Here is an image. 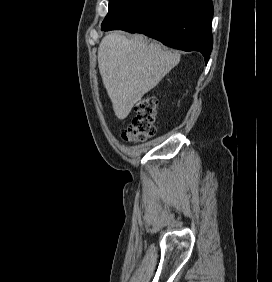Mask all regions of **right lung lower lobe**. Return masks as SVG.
<instances>
[{"instance_id": "1", "label": "right lung lower lobe", "mask_w": 272, "mask_h": 282, "mask_svg": "<svg viewBox=\"0 0 272 282\" xmlns=\"http://www.w3.org/2000/svg\"><path fill=\"white\" fill-rule=\"evenodd\" d=\"M212 16V0H137L101 30L142 33L172 48L199 51L208 62Z\"/></svg>"}]
</instances>
